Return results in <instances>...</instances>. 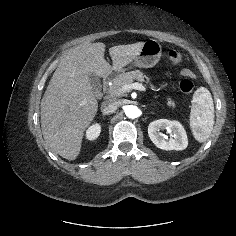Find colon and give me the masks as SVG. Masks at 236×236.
<instances>
[{"instance_id":"colon-1","label":"colon","mask_w":236,"mask_h":236,"mask_svg":"<svg viewBox=\"0 0 236 236\" xmlns=\"http://www.w3.org/2000/svg\"><path fill=\"white\" fill-rule=\"evenodd\" d=\"M168 58L173 65H181L184 63L183 54L177 50H171L168 54ZM184 75L187 74L184 72ZM179 88L184 94H190L194 89V83L191 78L186 76L180 81Z\"/></svg>"}]
</instances>
